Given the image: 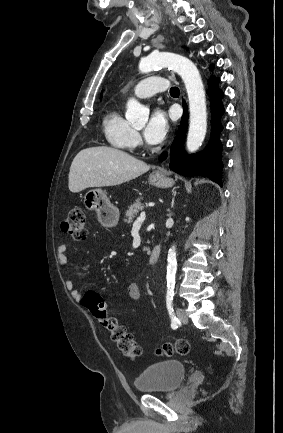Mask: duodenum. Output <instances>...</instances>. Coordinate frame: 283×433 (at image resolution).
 I'll list each match as a JSON object with an SVG mask.
<instances>
[{
  "label": "duodenum",
  "instance_id": "obj_1",
  "mask_svg": "<svg viewBox=\"0 0 283 433\" xmlns=\"http://www.w3.org/2000/svg\"><path fill=\"white\" fill-rule=\"evenodd\" d=\"M161 257V247L159 245H156L153 247L150 255H149V263L151 265H155L159 262Z\"/></svg>",
  "mask_w": 283,
  "mask_h": 433
}]
</instances>
